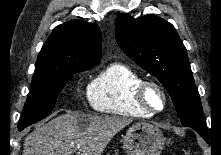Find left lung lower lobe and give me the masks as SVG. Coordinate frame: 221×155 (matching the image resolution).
<instances>
[{
    "instance_id": "left-lung-lower-lobe-1",
    "label": "left lung lower lobe",
    "mask_w": 221,
    "mask_h": 155,
    "mask_svg": "<svg viewBox=\"0 0 221 155\" xmlns=\"http://www.w3.org/2000/svg\"><path fill=\"white\" fill-rule=\"evenodd\" d=\"M194 130H196L206 141L208 139L207 135L205 134V130L204 128H195V127H191Z\"/></svg>"
}]
</instances>
